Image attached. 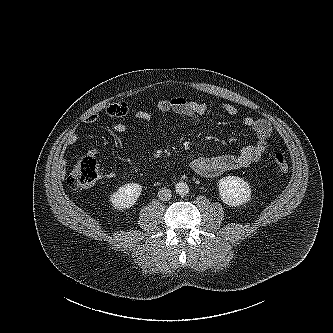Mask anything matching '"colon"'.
Segmentation results:
<instances>
[{"label": "colon", "mask_w": 333, "mask_h": 333, "mask_svg": "<svg viewBox=\"0 0 333 333\" xmlns=\"http://www.w3.org/2000/svg\"><path fill=\"white\" fill-rule=\"evenodd\" d=\"M273 162L277 169L288 172L289 166L283 153L276 152ZM99 179V167L93 156L86 155L78 160L69 173L67 183L72 189H85L95 185Z\"/></svg>", "instance_id": "5ec220e1"}]
</instances>
